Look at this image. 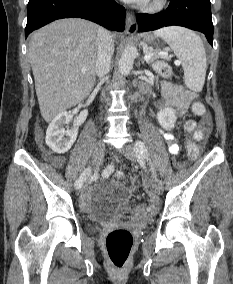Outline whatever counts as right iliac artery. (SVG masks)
Instances as JSON below:
<instances>
[{"mask_svg": "<svg viewBox=\"0 0 233 284\" xmlns=\"http://www.w3.org/2000/svg\"><path fill=\"white\" fill-rule=\"evenodd\" d=\"M92 172L91 168L88 167L86 168L82 174L80 175V177L77 179V181L74 184V187L77 189V187H81L82 184L84 183V181H86V179L89 177V173Z\"/></svg>", "mask_w": 233, "mask_h": 284, "instance_id": "obj_1", "label": "right iliac artery"}]
</instances>
